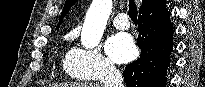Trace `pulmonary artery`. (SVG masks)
<instances>
[{
    "label": "pulmonary artery",
    "instance_id": "obj_1",
    "mask_svg": "<svg viewBox=\"0 0 205 87\" xmlns=\"http://www.w3.org/2000/svg\"><path fill=\"white\" fill-rule=\"evenodd\" d=\"M113 26L117 29L125 30L128 29L130 23L128 21V17L125 13L118 14L112 21Z\"/></svg>",
    "mask_w": 205,
    "mask_h": 87
}]
</instances>
